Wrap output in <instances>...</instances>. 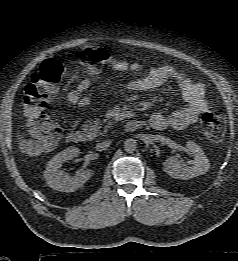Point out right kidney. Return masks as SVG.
Instances as JSON below:
<instances>
[{"label": "right kidney", "mask_w": 238, "mask_h": 261, "mask_svg": "<svg viewBox=\"0 0 238 261\" xmlns=\"http://www.w3.org/2000/svg\"><path fill=\"white\" fill-rule=\"evenodd\" d=\"M79 155L77 147H70L56 154L47 164L44 171V178L47 185L55 190L62 192H73L86 183L92 176L90 170H81L76 172L74 176L59 170L62 163L67 162Z\"/></svg>", "instance_id": "1"}]
</instances>
